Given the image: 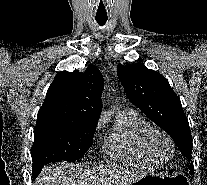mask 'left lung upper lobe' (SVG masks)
<instances>
[{"label":"left lung upper lobe","instance_id":"1","mask_svg":"<svg viewBox=\"0 0 207 185\" xmlns=\"http://www.w3.org/2000/svg\"><path fill=\"white\" fill-rule=\"evenodd\" d=\"M117 74L130 102L165 130L184 157L191 160L193 144L188 119L180 98L172 90L168 80L143 64H118ZM189 168L193 173V162Z\"/></svg>","mask_w":207,"mask_h":185}]
</instances>
